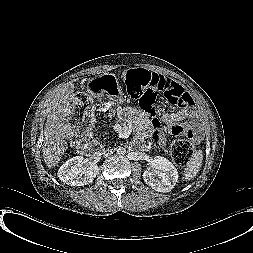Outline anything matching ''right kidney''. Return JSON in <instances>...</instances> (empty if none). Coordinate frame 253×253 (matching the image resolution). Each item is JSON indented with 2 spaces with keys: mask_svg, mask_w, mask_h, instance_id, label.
Segmentation results:
<instances>
[{
  "mask_svg": "<svg viewBox=\"0 0 253 253\" xmlns=\"http://www.w3.org/2000/svg\"><path fill=\"white\" fill-rule=\"evenodd\" d=\"M84 164L82 156L67 160L58 170L59 179L71 186H84L93 181L99 168L96 164Z\"/></svg>",
  "mask_w": 253,
  "mask_h": 253,
  "instance_id": "obj_1",
  "label": "right kidney"
}]
</instances>
